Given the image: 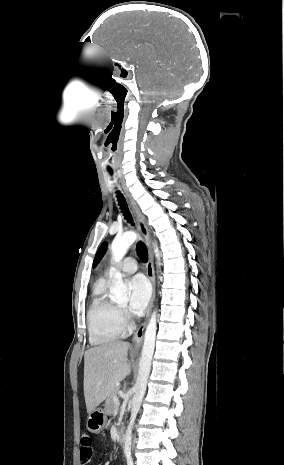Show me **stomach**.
<instances>
[{
	"label": "stomach",
	"mask_w": 284,
	"mask_h": 465,
	"mask_svg": "<svg viewBox=\"0 0 284 465\" xmlns=\"http://www.w3.org/2000/svg\"><path fill=\"white\" fill-rule=\"evenodd\" d=\"M106 421L104 409H95V411L88 413L86 429L90 433H100V431H103Z\"/></svg>",
	"instance_id": "obj_1"
}]
</instances>
